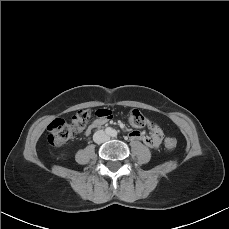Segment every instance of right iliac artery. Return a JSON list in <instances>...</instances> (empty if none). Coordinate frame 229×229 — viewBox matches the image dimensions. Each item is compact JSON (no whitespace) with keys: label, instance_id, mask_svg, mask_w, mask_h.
<instances>
[{"label":"right iliac artery","instance_id":"1","mask_svg":"<svg viewBox=\"0 0 229 229\" xmlns=\"http://www.w3.org/2000/svg\"><path fill=\"white\" fill-rule=\"evenodd\" d=\"M112 132V130L110 128L106 129V133L110 134Z\"/></svg>","mask_w":229,"mask_h":229}]
</instances>
